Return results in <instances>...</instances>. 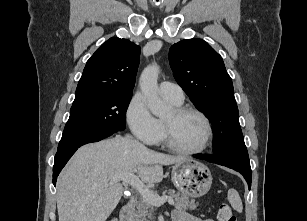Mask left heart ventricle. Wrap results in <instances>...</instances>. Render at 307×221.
<instances>
[{"instance_id":"b2bd125f","label":"left heart ventricle","mask_w":307,"mask_h":221,"mask_svg":"<svg viewBox=\"0 0 307 221\" xmlns=\"http://www.w3.org/2000/svg\"><path fill=\"white\" fill-rule=\"evenodd\" d=\"M172 129V139L175 145L183 149L199 148L206 136L203 120L195 114L176 116L172 110L164 118Z\"/></svg>"}]
</instances>
